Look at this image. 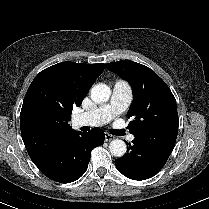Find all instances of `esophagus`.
Instances as JSON below:
<instances>
[{
    "label": "esophagus",
    "mask_w": 209,
    "mask_h": 209,
    "mask_svg": "<svg viewBox=\"0 0 209 209\" xmlns=\"http://www.w3.org/2000/svg\"><path fill=\"white\" fill-rule=\"evenodd\" d=\"M115 137L111 134L105 133L104 140L106 142L113 140Z\"/></svg>",
    "instance_id": "34e87169"
}]
</instances>
